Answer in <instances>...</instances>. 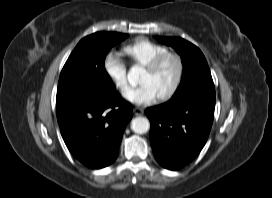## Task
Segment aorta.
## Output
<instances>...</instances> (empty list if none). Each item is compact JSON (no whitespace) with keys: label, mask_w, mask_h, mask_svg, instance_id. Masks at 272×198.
Returning <instances> with one entry per match:
<instances>
[{"label":"aorta","mask_w":272,"mask_h":198,"mask_svg":"<svg viewBox=\"0 0 272 198\" xmlns=\"http://www.w3.org/2000/svg\"><path fill=\"white\" fill-rule=\"evenodd\" d=\"M143 71L142 67L135 65L133 66L127 75L130 84H137L139 76ZM150 128V122L145 117H136L131 121V129L133 132L138 134L146 133Z\"/></svg>","instance_id":"aorta-1"}]
</instances>
